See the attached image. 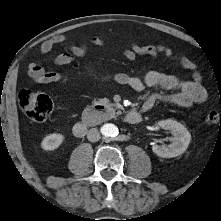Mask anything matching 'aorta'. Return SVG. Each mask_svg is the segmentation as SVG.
Here are the masks:
<instances>
[{
    "instance_id": "762f6f07",
    "label": "aorta",
    "mask_w": 221,
    "mask_h": 221,
    "mask_svg": "<svg viewBox=\"0 0 221 221\" xmlns=\"http://www.w3.org/2000/svg\"><path fill=\"white\" fill-rule=\"evenodd\" d=\"M101 132L105 136H115L117 133V127L113 124H105L101 128Z\"/></svg>"
}]
</instances>
